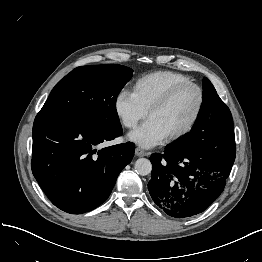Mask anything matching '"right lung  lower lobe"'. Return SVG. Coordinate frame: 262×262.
<instances>
[{"label":"right lung lower lobe","instance_id":"98d812e1","mask_svg":"<svg viewBox=\"0 0 262 262\" xmlns=\"http://www.w3.org/2000/svg\"><path fill=\"white\" fill-rule=\"evenodd\" d=\"M122 134L121 125L100 127L82 118L40 111L33 125L32 172L59 209L81 214L102 204L122 169L131 162L134 144L96 147Z\"/></svg>","mask_w":262,"mask_h":262}]
</instances>
